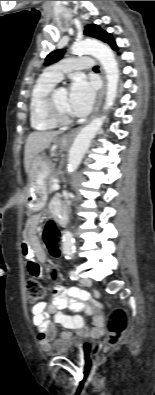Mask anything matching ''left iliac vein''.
<instances>
[{
  "label": "left iliac vein",
  "mask_w": 155,
  "mask_h": 395,
  "mask_svg": "<svg viewBox=\"0 0 155 395\" xmlns=\"http://www.w3.org/2000/svg\"><path fill=\"white\" fill-rule=\"evenodd\" d=\"M80 282L82 285H84L86 287H90L92 285V281L89 278H81Z\"/></svg>",
  "instance_id": "obj_1"
}]
</instances>
